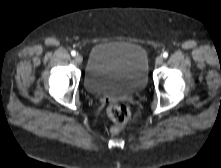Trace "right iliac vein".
I'll return each mask as SVG.
<instances>
[{
  "label": "right iliac vein",
  "mask_w": 221,
  "mask_h": 168,
  "mask_svg": "<svg viewBox=\"0 0 221 168\" xmlns=\"http://www.w3.org/2000/svg\"><path fill=\"white\" fill-rule=\"evenodd\" d=\"M75 61H76V63L81 64L83 61V57L80 54H77L75 56Z\"/></svg>",
  "instance_id": "obj_1"
}]
</instances>
